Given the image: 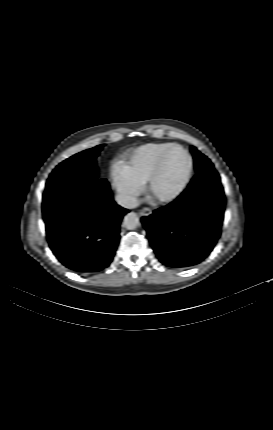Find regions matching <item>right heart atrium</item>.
<instances>
[{
    "label": "right heart atrium",
    "mask_w": 273,
    "mask_h": 430,
    "mask_svg": "<svg viewBox=\"0 0 273 430\" xmlns=\"http://www.w3.org/2000/svg\"><path fill=\"white\" fill-rule=\"evenodd\" d=\"M111 180L126 203H132L141 191V187L130 178L123 165L115 164L112 166Z\"/></svg>",
    "instance_id": "right-heart-atrium-1"
}]
</instances>
